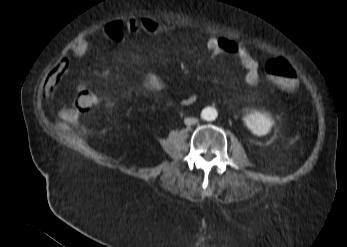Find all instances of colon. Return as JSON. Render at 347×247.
Instances as JSON below:
<instances>
[{
    "mask_svg": "<svg viewBox=\"0 0 347 247\" xmlns=\"http://www.w3.org/2000/svg\"><path fill=\"white\" fill-rule=\"evenodd\" d=\"M266 72L270 81L280 90L291 92L297 86V75L293 67L284 59H276L267 63ZM98 104L95 94L89 90H82L75 96V107L82 113L93 111ZM64 123H74L77 119L76 110L64 108L58 114Z\"/></svg>",
    "mask_w": 347,
    "mask_h": 247,
    "instance_id": "obj_1",
    "label": "colon"
}]
</instances>
